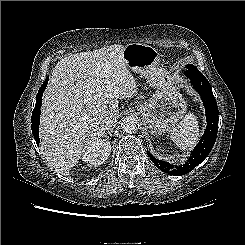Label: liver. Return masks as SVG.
Here are the masks:
<instances>
[{"mask_svg": "<svg viewBox=\"0 0 245 245\" xmlns=\"http://www.w3.org/2000/svg\"><path fill=\"white\" fill-rule=\"evenodd\" d=\"M125 46L115 44L61 59L42 100L40 139L43 157L69 176L87 147L105 129L106 116L119 117L118 99L137 92L123 59Z\"/></svg>", "mask_w": 245, "mask_h": 245, "instance_id": "1", "label": "liver"}]
</instances>
